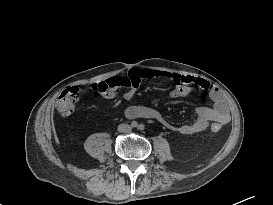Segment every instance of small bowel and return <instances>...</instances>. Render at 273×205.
Masks as SVG:
<instances>
[{"mask_svg": "<svg viewBox=\"0 0 273 205\" xmlns=\"http://www.w3.org/2000/svg\"><path fill=\"white\" fill-rule=\"evenodd\" d=\"M134 74L144 80L165 78L168 81L173 82L175 86L168 93V97L171 99L185 97L198 89L205 90L208 92L211 100L213 101V106L198 107L196 110L195 120L190 124H183L179 126L172 124L157 110L145 105L129 107L127 109V115L129 117L156 119L166 128L182 134H191L204 131L210 122L223 125L229 121V108L222 92L211 82L191 75H183L153 69L132 70L128 75H117L98 81L93 84L92 89L97 94L107 99L116 97L120 90L123 89V98L127 101L132 100L137 93L136 87L130 84V79ZM73 89L78 90L76 87Z\"/></svg>", "mask_w": 273, "mask_h": 205, "instance_id": "obj_1", "label": "small bowel"}]
</instances>
